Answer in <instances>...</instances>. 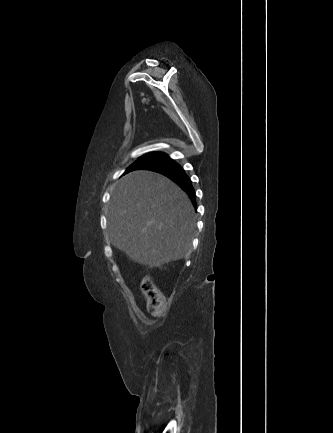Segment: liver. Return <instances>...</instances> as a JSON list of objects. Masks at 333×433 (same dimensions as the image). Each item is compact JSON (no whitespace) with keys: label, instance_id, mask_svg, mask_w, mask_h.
Masks as SVG:
<instances>
[{"label":"liver","instance_id":"6515ba94","mask_svg":"<svg viewBox=\"0 0 333 433\" xmlns=\"http://www.w3.org/2000/svg\"><path fill=\"white\" fill-rule=\"evenodd\" d=\"M194 215L187 194L174 182L137 170L116 182L107 226L113 245L131 260L159 267L187 256Z\"/></svg>","mask_w":333,"mask_h":433}]
</instances>
